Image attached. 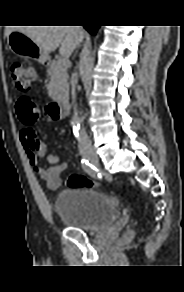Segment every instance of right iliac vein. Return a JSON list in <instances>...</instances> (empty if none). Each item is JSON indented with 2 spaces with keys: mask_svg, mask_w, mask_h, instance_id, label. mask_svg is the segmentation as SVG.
I'll list each match as a JSON object with an SVG mask.
<instances>
[{
  "mask_svg": "<svg viewBox=\"0 0 184 292\" xmlns=\"http://www.w3.org/2000/svg\"><path fill=\"white\" fill-rule=\"evenodd\" d=\"M86 158H87L92 164L98 165V158H97V156H95V155H89V156H86Z\"/></svg>",
  "mask_w": 184,
  "mask_h": 292,
  "instance_id": "obj_1",
  "label": "right iliac vein"
}]
</instances>
